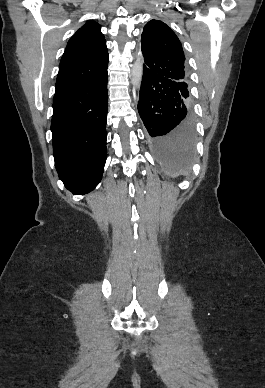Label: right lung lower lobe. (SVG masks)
Wrapping results in <instances>:
<instances>
[{
	"label": "right lung lower lobe",
	"instance_id": "right-lung-lower-lobe-1",
	"mask_svg": "<svg viewBox=\"0 0 265 388\" xmlns=\"http://www.w3.org/2000/svg\"><path fill=\"white\" fill-rule=\"evenodd\" d=\"M108 74L56 90L51 123L59 178L73 194H86L100 182L107 158Z\"/></svg>",
	"mask_w": 265,
	"mask_h": 388
}]
</instances>
